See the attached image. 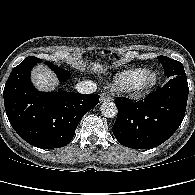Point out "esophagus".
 <instances>
[{
    "label": "esophagus",
    "instance_id": "obj_1",
    "mask_svg": "<svg viewBox=\"0 0 195 195\" xmlns=\"http://www.w3.org/2000/svg\"><path fill=\"white\" fill-rule=\"evenodd\" d=\"M111 100H112V97L106 92H103L100 95V102L111 101Z\"/></svg>",
    "mask_w": 195,
    "mask_h": 195
}]
</instances>
